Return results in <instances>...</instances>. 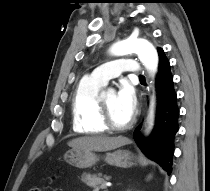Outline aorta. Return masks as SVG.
I'll return each mask as SVG.
<instances>
[{
    "instance_id": "1",
    "label": "aorta",
    "mask_w": 210,
    "mask_h": 191,
    "mask_svg": "<svg viewBox=\"0 0 210 191\" xmlns=\"http://www.w3.org/2000/svg\"><path fill=\"white\" fill-rule=\"evenodd\" d=\"M110 53L114 56H123L129 53H136L138 58L143 63L145 68L155 75L158 69V53L155 47L144 39L139 38H127L122 41L115 43L111 49ZM110 93L114 91L112 89L109 90ZM155 113V101L154 99L151 102L150 112H149V124L150 127L153 126L154 115Z\"/></svg>"
}]
</instances>
